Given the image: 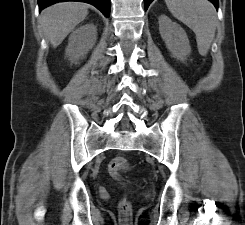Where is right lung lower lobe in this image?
Instances as JSON below:
<instances>
[{"instance_id": "right-lung-lower-lobe-1", "label": "right lung lower lobe", "mask_w": 245, "mask_h": 225, "mask_svg": "<svg viewBox=\"0 0 245 225\" xmlns=\"http://www.w3.org/2000/svg\"><path fill=\"white\" fill-rule=\"evenodd\" d=\"M63 1H80L92 4L97 7L106 17H109L110 0H38L39 11L54 3Z\"/></svg>"}]
</instances>
